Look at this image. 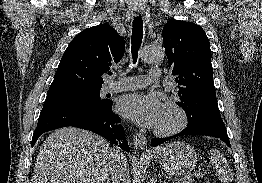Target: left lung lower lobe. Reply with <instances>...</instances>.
I'll list each match as a JSON object with an SVG mask.
<instances>
[{
	"label": "left lung lower lobe",
	"instance_id": "left-lung-lower-lobe-1",
	"mask_svg": "<svg viewBox=\"0 0 262 183\" xmlns=\"http://www.w3.org/2000/svg\"><path fill=\"white\" fill-rule=\"evenodd\" d=\"M185 135H206L216 137L231 147L225 125L221 118L216 117H206L189 122L187 127L180 133L167 138H153L151 139V144L153 146H158L172 138Z\"/></svg>",
	"mask_w": 262,
	"mask_h": 183
}]
</instances>
